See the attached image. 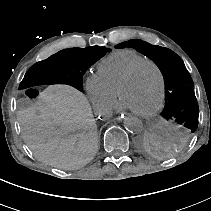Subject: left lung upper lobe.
<instances>
[{
  "label": "left lung upper lobe",
  "mask_w": 211,
  "mask_h": 211,
  "mask_svg": "<svg viewBox=\"0 0 211 211\" xmlns=\"http://www.w3.org/2000/svg\"><path fill=\"white\" fill-rule=\"evenodd\" d=\"M134 48L149 57L161 70L165 82V106L161 116L176 122L185 136L198 126L199 108L193 80L182 59L172 50L142 40H129L115 48Z\"/></svg>",
  "instance_id": "5c2ea615"
}]
</instances>
